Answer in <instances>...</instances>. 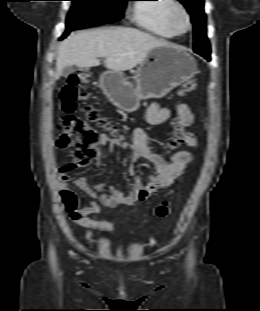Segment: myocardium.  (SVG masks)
<instances>
[{"instance_id":"1","label":"myocardium","mask_w":260,"mask_h":311,"mask_svg":"<svg viewBox=\"0 0 260 311\" xmlns=\"http://www.w3.org/2000/svg\"><path fill=\"white\" fill-rule=\"evenodd\" d=\"M178 16H182L184 18L186 22L185 30H180L176 26V19ZM167 20H168V25L170 29L175 35H184L192 29L191 17L187 9L176 0L169 7L168 14H167Z\"/></svg>"}]
</instances>
